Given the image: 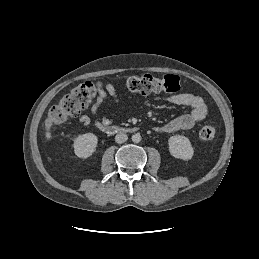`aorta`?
<instances>
[{"label":"aorta","instance_id":"1","mask_svg":"<svg viewBox=\"0 0 259 259\" xmlns=\"http://www.w3.org/2000/svg\"><path fill=\"white\" fill-rule=\"evenodd\" d=\"M141 135L139 133H135L134 135H132V141L134 143H139L141 141Z\"/></svg>","mask_w":259,"mask_h":259}]
</instances>
